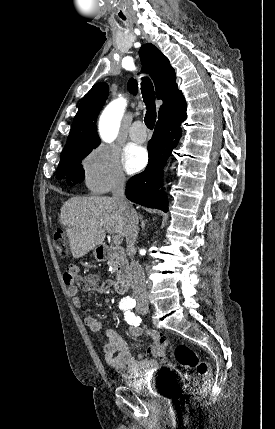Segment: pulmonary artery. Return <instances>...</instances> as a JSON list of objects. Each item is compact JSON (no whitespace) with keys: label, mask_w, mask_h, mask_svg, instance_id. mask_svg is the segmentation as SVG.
Returning a JSON list of instances; mask_svg holds the SVG:
<instances>
[{"label":"pulmonary artery","mask_w":275,"mask_h":429,"mask_svg":"<svg viewBox=\"0 0 275 429\" xmlns=\"http://www.w3.org/2000/svg\"><path fill=\"white\" fill-rule=\"evenodd\" d=\"M129 136L131 140L137 143H142L147 139V132L143 122L135 121L130 127Z\"/></svg>","instance_id":"obj_1"}]
</instances>
